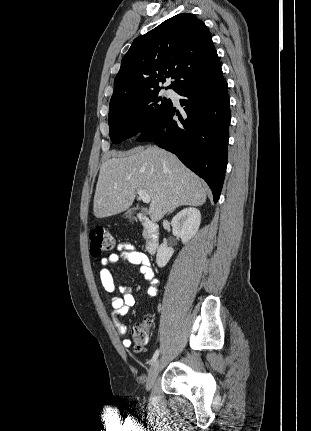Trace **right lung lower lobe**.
<instances>
[{
    "instance_id": "obj_1",
    "label": "right lung lower lobe",
    "mask_w": 311,
    "mask_h": 431,
    "mask_svg": "<svg viewBox=\"0 0 311 431\" xmlns=\"http://www.w3.org/2000/svg\"><path fill=\"white\" fill-rule=\"evenodd\" d=\"M222 70L176 91L184 99V119L171 105L145 126L138 141H152L177 155L183 164L202 177L219 199L227 166L230 100ZM177 115L179 120H173ZM187 116V118H186Z\"/></svg>"
}]
</instances>
